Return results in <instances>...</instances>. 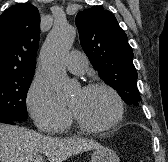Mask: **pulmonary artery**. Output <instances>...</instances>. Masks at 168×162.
<instances>
[{"mask_svg": "<svg viewBox=\"0 0 168 162\" xmlns=\"http://www.w3.org/2000/svg\"><path fill=\"white\" fill-rule=\"evenodd\" d=\"M67 69L74 74H83L88 68V59L79 51H71L65 59Z\"/></svg>", "mask_w": 168, "mask_h": 162, "instance_id": "1", "label": "pulmonary artery"}]
</instances>
